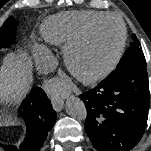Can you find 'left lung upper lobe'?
I'll return each mask as SVG.
<instances>
[{"instance_id": "5c2ea615", "label": "left lung upper lobe", "mask_w": 151, "mask_h": 151, "mask_svg": "<svg viewBox=\"0 0 151 151\" xmlns=\"http://www.w3.org/2000/svg\"><path fill=\"white\" fill-rule=\"evenodd\" d=\"M132 39L133 43H131L130 47L125 51L123 57L121 58L119 64L113 72L133 63L146 64L145 56L143 54L140 42L135 34L132 35Z\"/></svg>"}]
</instances>
